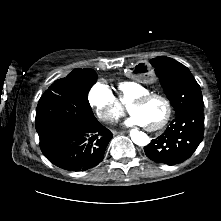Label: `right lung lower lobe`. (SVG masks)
Segmentation results:
<instances>
[{
	"mask_svg": "<svg viewBox=\"0 0 221 221\" xmlns=\"http://www.w3.org/2000/svg\"><path fill=\"white\" fill-rule=\"evenodd\" d=\"M113 134L97 120L88 125L71 123L40 138L44 156L69 171H85L97 166Z\"/></svg>",
	"mask_w": 221,
	"mask_h": 221,
	"instance_id": "98d812e1",
	"label": "right lung lower lobe"
}]
</instances>
